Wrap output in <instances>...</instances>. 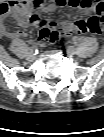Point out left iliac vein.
Masks as SVG:
<instances>
[{
  "mask_svg": "<svg viewBox=\"0 0 104 137\" xmlns=\"http://www.w3.org/2000/svg\"><path fill=\"white\" fill-rule=\"evenodd\" d=\"M67 51L70 54H75L76 53V48L74 46H68Z\"/></svg>",
  "mask_w": 104,
  "mask_h": 137,
  "instance_id": "obj_1",
  "label": "left iliac vein"
}]
</instances>
